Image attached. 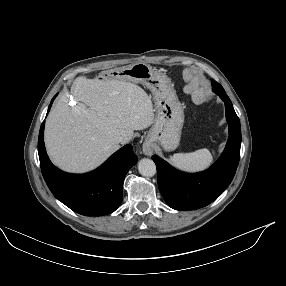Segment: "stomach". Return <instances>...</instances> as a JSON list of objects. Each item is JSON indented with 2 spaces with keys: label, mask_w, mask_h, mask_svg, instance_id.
<instances>
[{
  "label": "stomach",
  "mask_w": 286,
  "mask_h": 286,
  "mask_svg": "<svg viewBox=\"0 0 286 286\" xmlns=\"http://www.w3.org/2000/svg\"><path fill=\"white\" fill-rule=\"evenodd\" d=\"M109 75L113 79L140 83L152 92L155 119L145 145L161 146L166 151L176 149L180 142L184 112L167 75L142 62L112 70Z\"/></svg>",
  "instance_id": "1"
}]
</instances>
